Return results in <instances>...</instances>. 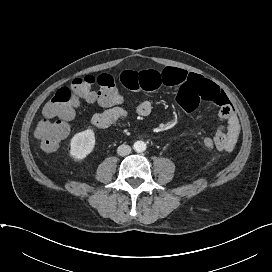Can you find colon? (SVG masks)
Wrapping results in <instances>:
<instances>
[{
  "mask_svg": "<svg viewBox=\"0 0 272 272\" xmlns=\"http://www.w3.org/2000/svg\"><path fill=\"white\" fill-rule=\"evenodd\" d=\"M81 100L98 102L103 107L126 103L113 76L101 74L98 77L85 75L76 78L70 86L58 89L43 107V119L35 127V135L41 141L43 150L55 151L68 136V121L74 117ZM203 144L208 149L214 148L211 137H206Z\"/></svg>",
  "mask_w": 272,
  "mask_h": 272,
  "instance_id": "5ec220e1",
  "label": "colon"
}]
</instances>
